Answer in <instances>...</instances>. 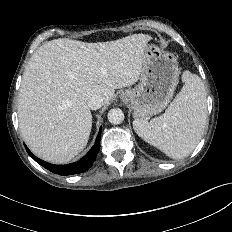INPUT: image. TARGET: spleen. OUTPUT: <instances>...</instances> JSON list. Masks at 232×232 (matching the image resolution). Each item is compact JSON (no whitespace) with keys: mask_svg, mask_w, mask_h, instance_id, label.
<instances>
[{"mask_svg":"<svg viewBox=\"0 0 232 232\" xmlns=\"http://www.w3.org/2000/svg\"><path fill=\"white\" fill-rule=\"evenodd\" d=\"M184 86L166 112L150 122L135 119L136 133L168 157L182 159L199 143L207 123L204 84L196 74L185 71Z\"/></svg>","mask_w":232,"mask_h":232,"instance_id":"spleen-1","label":"spleen"}]
</instances>
